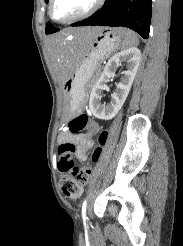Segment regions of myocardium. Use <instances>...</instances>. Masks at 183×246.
Returning a JSON list of instances; mask_svg holds the SVG:
<instances>
[{
  "instance_id": "obj_1",
  "label": "myocardium",
  "mask_w": 183,
  "mask_h": 246,
  "mask_svg": "<svg viewBox=\"0 0 183 246\" xmlns=\"http://www.w3.org/2000/svg\"><path fill=\"white\" fill-rule=\"evenodd\" d=\"M54 2H55V0L49 1L48 13H49L50 18L55 22H58L61 24H68V23H73V22H76V21H79V20H82V19H85V18L91 16L102 6L104 0H95L93 5L84 13H82L78 16L69 18V19H65V20H59V19L54 17V15H53Z\"/></svg>"
}]
</instances>
